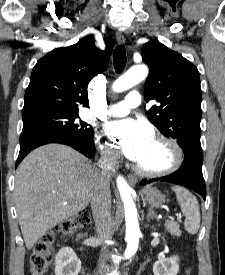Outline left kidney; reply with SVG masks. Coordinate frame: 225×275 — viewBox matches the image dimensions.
I'll list each match as a JSON object with an SVG mask.
<instances>
[{"label": "left kidney", "mask_w": 225, "mask_h": 275, "mask_svg": "<svg viewBox=\"0 0 225 275\" xmlns=\"http://www.w3.org/2000/svg\"><path fill=\"white\" fill-rule=\"evenodd\" d=\"M178 260L177 256L159 259L153 265L154 275H177L179 271Z\"/></svg>", "instance_id": "1"}]
</instances>
